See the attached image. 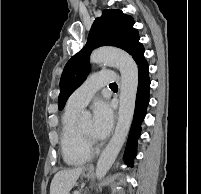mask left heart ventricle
<instances>
[{"label":"left heart ventricle","instance_id":"1","mask_svg":"<svg viewBox=\"0 0 201 194\" xmlns=\"http://www.w3.org/2000/svg\"><path fill=\"white\" fill-rule=\"evenodd\" d=\"M80 127L81 129L87 133L88 135H92L91 133V130H92V120L91 119H88V120H85L84 122H82L80 124Z\"/></svg>","mask_w":201,"mask_h":194}]
</instances>
